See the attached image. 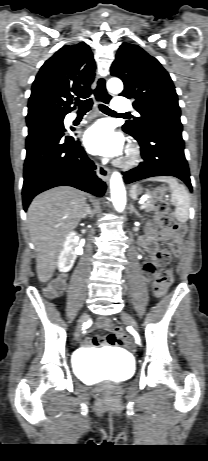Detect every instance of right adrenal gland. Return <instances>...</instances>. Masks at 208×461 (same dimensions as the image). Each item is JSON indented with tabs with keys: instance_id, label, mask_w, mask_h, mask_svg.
Wrapping results in <instances>:
<instances>
[{
	"instance_id": "2a0ac1e0",
	"label": "right adrenal gland",
	"mask_w": 208,
	"mask_h": 461,
	"mask_svg": "<svg viewBox=\"0 0 208 461\" xmlns=\"http://www.w3.org/2000/svg\"><path fill=\"white\" fill-rule=\"evenodd\" d=\"M87 209H88V211H87V214H85V215L83 216V218H87V217H89V218H91V219H92V218H93V216H94V211H93V210H91V207H90V205H87Z\"/></svg>"
}]
</instances>
